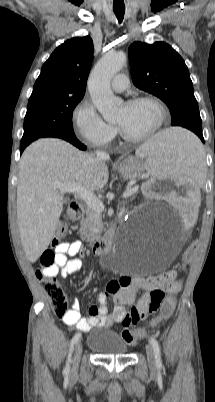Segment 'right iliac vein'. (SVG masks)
Returning a JSON list of instances; mask_svg holds the SVG:
<instances>
[{
  "label": "right iliac vein",
  "instance_id": "obj_1",
  "mask_svg": "<svg viewBox=\"0 0 215 402\" xmlns=\"http://www.w3.org/2000/svg\"><path fill=\"white\" fill-rule=\"evenodd\" d=\"M82 350H83L82 344L80 342H78L74 349V356H73V360H72V369H71L72 375H75L77 373Z\"/></svg>",
  "mask_w": 215,
  "mask_h": 402
}]
</instances>
